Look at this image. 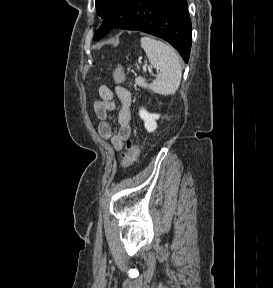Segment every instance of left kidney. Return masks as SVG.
<instances>
[{
	"label": "left kidney",
	"instance_id": "1",
	"mask_svg": "<svg viewBox=\"0 0 273 288\" xmlns=\"http://www.w3.org/2000/svg\"><path fill=\"white\" fill-rule=\"evenodd\" d=\"M140 118L144 121L145 129L150 133L154 132L157 128L156 120L159 119L160 115L151 114L146 111L144 108H141L139 111Z\"/></svg>",
	"mask_w": 273,
	"mask_h": 288
}]
</instances>
